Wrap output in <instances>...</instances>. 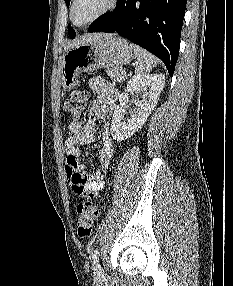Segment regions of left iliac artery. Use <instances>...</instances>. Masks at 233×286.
I'll return each instance as SVG.
<instances>
[{
	"label": "left iliac artery",
	"mask_w": 233,
	"mask_h": 286,
	"mask_svg": "<svg viewBox=\"0 0 233 286\" xmlns=\"http://www.w3.org/2000/svg\"><path fill=\"white\" fill-rule=\"evenodd\" d=\"M98 255H99V250L95 249V251L92 255V263H93L94 268H95L96 263L98 262Z\"/></svg>",
	"instance_id": "left-iliac-artery-1"
}]
</instances>
